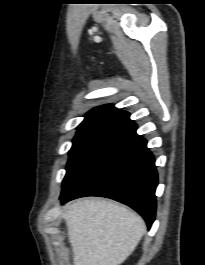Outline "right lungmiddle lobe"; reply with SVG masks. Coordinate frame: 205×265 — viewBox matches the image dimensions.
<instances>
[{"instance_id": "1", "label": "right lung middle lobe", "mask_w": 205, "mask_h": 265, "mask_svg": "<svg viewBox=\"0 0 205 265\" xmlns=\"http://www.w3.org/2000/svg\"><path fill=\"white\" fill-rule=\"evenodd\" d=\"M126 129L125 126H97L78 130L69 151L62 192L71 188Z\"/></svg>"}]
</instances>
